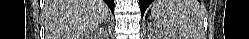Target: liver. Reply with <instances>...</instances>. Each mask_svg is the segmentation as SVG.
<instances>
[{
	"mask_svg": "<svg viewBox=\"0 0 249 39\" xmlns=\"http://www.w3.org/2000/svg\"><path fill=\"white\" fill-rule=\"evenodd\" d=\"M44 15L50 39H88L109 8L103 0H46Z\"/></svg>",
	"mask_w": 249,
	"mask_h": 39,
	"instance_id": "obj_1",
	"label": "liver"
}]
</instances>
